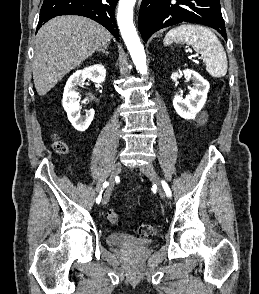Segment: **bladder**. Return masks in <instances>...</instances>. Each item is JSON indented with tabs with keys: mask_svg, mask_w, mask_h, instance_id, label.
<instances>
[{
	"mask_svg": "<svg viewBox=\"0 0 259 294\" xmlns=\"http://www.w3.org/2000/svg\"><path fill=\"white\" fill-rule=\"evenodd\" d=\"M107 243L112 246L143 245L149 242L148 239L136 237L127 233L113 232L107 235Z\"/></svg>",
	"mask_w": 259,
	"mask_h": 294,
	"instance_id": "bladder-1",
	"label": "bladder"
}]
</instances>
